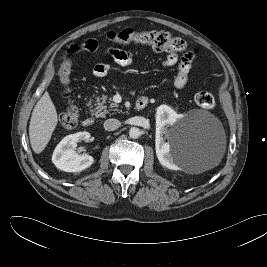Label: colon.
I'll return each mask as SVG.
<instances>
[{"instance_id":"colon-1","label":"colon","mask_w":267,"mask_h":267,"mask_svg":"<svg viewBox=\"0 0 267 267\" xmlns=\"http://www.w3.org/2000/svg\"><path fill=\"white\" fill-rule=\"evenodd\" d=\"M108 38L117 43L138 42L151 46L154 50L167 52L172 55L183 52L186 43L179 37L171 36L164 30H153L146 32H136L132 29H125L120 32H111ZM71 59L63 61L59 70L60 83L68 89L71 74ZM196 104L203 109H211L215 105V98L208 91H200L195 95ZM78 109L73 103H69L66 111L60 116V124L66 130L74 129L78 124Z\"/></svg>"}]
</instances>
